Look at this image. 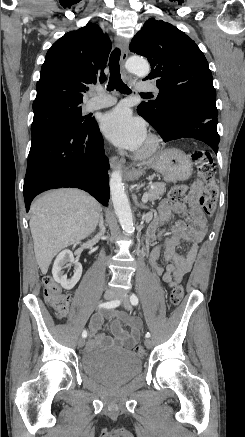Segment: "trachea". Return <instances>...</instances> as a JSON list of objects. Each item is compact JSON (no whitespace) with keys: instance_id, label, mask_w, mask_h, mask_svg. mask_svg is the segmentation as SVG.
Wrapping results in <instances>:
<instances>
[{"instance_id":"1","label":"trachea","mask_w":245,"mask_h":437,"mask_svg":"<svg viewBox=\"0 0 245 437\" xmlns=\"http://www.w3.org/2000/svg\"><path fill=\"white\" fill-rule=\"evenodd\" d=\"M121 51L119 48H115L109 59L110 78L107 89L112 91L114 89L120 91L123 94H130L131 90L126 84L123 83L120 74V60ZM141 95H150V93H141Z\"/></svg>"}]
</instances>
